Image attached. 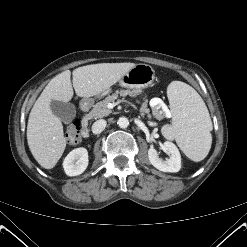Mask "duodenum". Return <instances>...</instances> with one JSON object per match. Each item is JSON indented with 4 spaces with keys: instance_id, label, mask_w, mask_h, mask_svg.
<instances>
[{
    "instance_id": "410a0bca",
    "label": "duodenum",
    "mask_w": 247,
    "mask_h": 247,
    "mask_svg": "<svg viewBox=\"0 0 247 247\" xmlns=\"http://www.w3.org/2000/svg\"><path fill=\"white\" fill-rule=\"evenodd\" d=\"M89 108L88 102H84L82 104V110L86 111ZM81 136L84 138H87L89 136V130H88V122L87 120H82L81 123Z\"/></svg>"
}]
</instances>
